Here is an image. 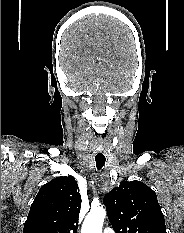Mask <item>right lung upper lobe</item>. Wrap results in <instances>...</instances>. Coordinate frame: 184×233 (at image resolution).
Wrapping results in <instances>:
<instances>
[{
	"instance_id": "1",
	"label": "right lung upper lobe",
	"mask_w": 184,
	"mask_h": 233,
	"mask_svg": "<svg viewBox=\"0 0 184 233\" xmlns=\"http://www.w3.org/2000/svg\"><path fill=\"white\" fill-rule=\"evenodd\" d=\"M81 195L72 176L56 177L35 197L23 233H76Z\"/></svg>"
}]
</instances>
